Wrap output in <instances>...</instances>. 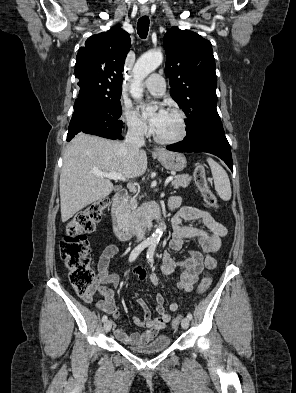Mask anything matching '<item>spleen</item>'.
<instances>
[{
	"label": "spleen",
	"mask_w": 296,
	"mask_h": 393,
	"mask_svg": "<svg viewBox=\"0 0 296 393\" xmlns=\"http://www.w3.org/2000/svg\"><path fill=\"white\" fill-rule=\"evenodd\" d=\"M214 179L215 189L222 200L228 201L231 198L230 180L226 171L212 158H207Z\"/></svg>",
	"instance_id": "1"
}]
</instances>
